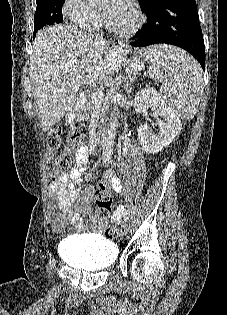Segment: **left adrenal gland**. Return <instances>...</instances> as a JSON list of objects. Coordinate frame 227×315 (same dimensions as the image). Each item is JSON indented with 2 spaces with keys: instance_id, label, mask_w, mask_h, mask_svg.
Returning a JSON list of instances; mask_svg holds the SVG:
<instances>
[{
  "instance_id": "obj_1",
  "label": "left adrenal gland",
  "mask_w": 227,
  "mask_h": 315,
  "mask_svg": "<svg viewBox=\"0 0 227 315\" xmlns=\"http://www.w3.org/2000/svg\"><path fill=\"white\" fill-rule=\"evenodd\" d=\"M137 71H133V76L131 77H129V79H130V83L132 84L134 81H135V79L137 78ZM126 90H127V92H130L131 91V89H128V84H127V87H126Z\"/></svg>"
}]
</instances>
